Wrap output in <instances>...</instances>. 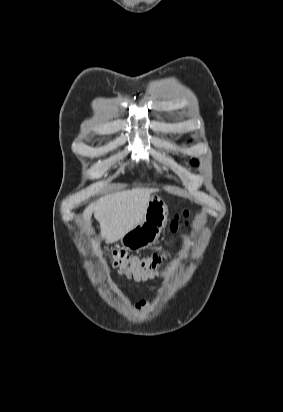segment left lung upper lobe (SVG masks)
Listing matches in <instances>:
<instances>
[{"label": "left lung upper lobe", "instance_id": "1", "mask_svg": "<svg viewBox=\"0 0 283 412\" xmlns=\"http://www.w3.org/2000/svg\"><path fill=\"white\" fill-rule=\"evenodd\" d=\"M192 163L194 164V163H196V161H195V160H193V161H192Z\"/></svg>", "mask_w": 283, "mask_h": 412}]
</instances>
